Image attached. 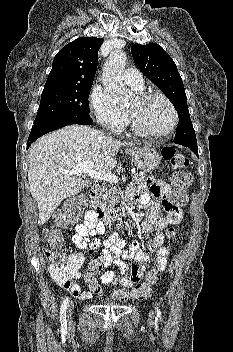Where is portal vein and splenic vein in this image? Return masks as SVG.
Here are the masks:
<instances>
[{"instance_id":"1","label":"portal vein and splenic vein","mask_w":233,"mask_h":352,"mask_svg":"<svg viewBox=\"0 0 233 352\" xmlns=\"http://www.w3.org/2000/svg\"><path fill=\"white\" fill-rule=\"evenodd\" d=\"M60 172L64 174H75V175L80 173H85L89 175L91 178L96 180L108 181L110 183L118 182V177L115 174L98 172L93 170L92 162L81 163V164H78L76 167H74L72 170H60Z\"/></svg>"}]
</instances>
